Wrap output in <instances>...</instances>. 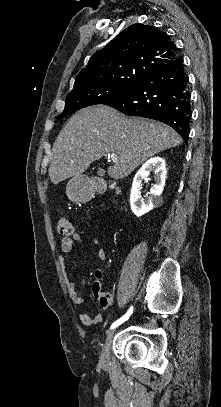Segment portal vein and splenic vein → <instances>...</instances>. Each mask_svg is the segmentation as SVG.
I'll return each instance as SVG.
<instances>
[{"label": "portal vein and splenic vein", "mask_w": 221, "mask_h": 407, "mask_svg": "<svg viewBox=\"0 0 221 407\" xmlns=\"http://www.w3.org/2000/svg\"><path fill=\"white\" fill-rule=\"evenodd\" d=\"M109 158H110L113 162H116V161H117L115 154H111V155L109 156Z\"/></svg>", "instance_id": "18ae733b"}]
</instances>
